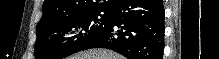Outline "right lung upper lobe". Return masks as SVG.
I'll return each instance as SVG.
<instances>
[{
    "instance_id": "right-lung-upper-lobe-1",
    "label": "right lung upper lobe",
    "mask_w": 219,
    "mask_h": 59,
    "mask_svg": "<svg viewBox=\"0 0 219 59\" xmlns=\"http://www.w3.org/2000/svg\"><path fill=\"white\" fill-rule=\"evenodd\" d=\"M116 0H45L38 26L75 15L111 11Z\"/></svg>"
}]
</instances>
